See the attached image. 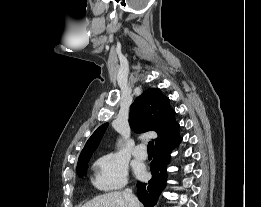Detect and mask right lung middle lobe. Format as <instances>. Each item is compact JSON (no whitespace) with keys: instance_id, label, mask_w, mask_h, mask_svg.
Instances as JSON below:
<instances>
[{"instance_id":"obj_1","label":"right lung middle lobe","mask_w":261,"mask_h":207,"mask_svg":"<svg viewBox=\"0 0 261 207\" xmlns=\"http://www.w3.org/2000/svg\"><path fill=\"white\" fill-rule=\"evenodd\" d=\"M90 157L85 158L81 161L78 162V166H77V174L82 177L83 175H86L87 173V163L89 161Z\"/></svg>"}]
</instances>
